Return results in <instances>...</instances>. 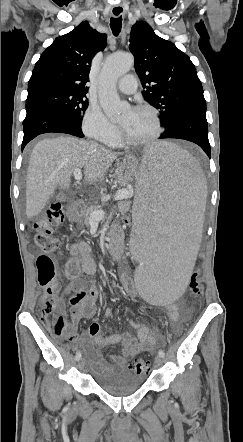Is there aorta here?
Returning <instances> with one entry per match:
<instances>
[{"label":"aorta","instance_id":"1","mask_svg":"<svg viewBox=\"0 0 243 442\" xmlns=\"http://www.w3.org/2000/svg\"><path fill=\"white\" fill-rule=\"evenodd\" d=\"M132 67V58L128 54H112L105 62L100 77L99 101L104 113L111 119L118 117L128 109L115 88L116 81Z\"/></svg>","mask_w":243,"mask_h":442}]
</instances>
